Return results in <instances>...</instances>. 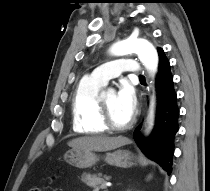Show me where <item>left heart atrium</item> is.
Returning a JSON list of instances; mask_svg holds the SVG:
<instances>
[{"label": "left heart atrium", "mask_w": 210, "mask_h": 191, "mask_svg": "<svg viewBox=\"0 0 210 191\" xmlns=\"http://www.w3.org/2000/svg\"><path fill=\"white\" fill-rule=\"evenodd\" d=\"M116 97L119 107L128 116L132 117L137 105L136 95L132 86L127 82H123L119 87Z\"/></svg>", "instance_id": "obj_1"}]
</instances>
